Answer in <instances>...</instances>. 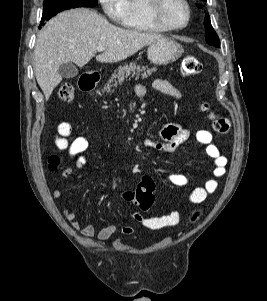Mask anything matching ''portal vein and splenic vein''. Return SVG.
Segmentation results:
<instances>
[{
  "label": "portal vein and splenic vein",
  "mask_w": 267,
  "mask_h": 301,
  "mask_svg": "<svg viewBox=\"0 0 267 301\" xmlns=\"http://www.w3.org/2000/svg\"><path fill=\"white\" fill-rule=\"evenodd\" d=\"M105 50V47H102V46H98L97 47V51L98 52H102V51H104Z\"/></svg>",
  "instance_id": "portal-vein-and-splenic-vein-1"
}]
</instances>
